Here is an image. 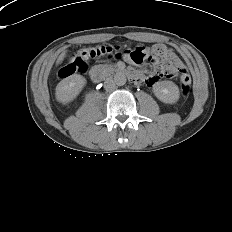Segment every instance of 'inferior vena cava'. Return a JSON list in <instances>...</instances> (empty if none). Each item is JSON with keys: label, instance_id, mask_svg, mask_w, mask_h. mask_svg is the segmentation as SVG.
Segmentation results:
<instances>
[{"label": "inferior vena cava", "instance_id": "1", "mask_svg": "<svg viewBox=\"0 0 232 232\" xmlns=\"http://www.w3.org/2000/svg\"><path fill=\"white\" fill-rule=\"evenodd\" d=\"M104 88L107 91H112L115 89V81L112 78H107L104 83Z\"/></svg>", "mask_w": 232, "mask_h": 232}]
</instances>
